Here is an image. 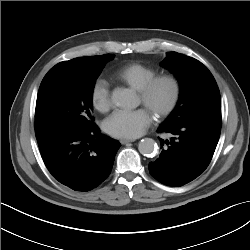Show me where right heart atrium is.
Wrapping results in <instances>:
<instances>
[{
  "label": "right heart atrium",
  "mask_w": 250,
  "mask_h": 250,
  "mask_svg": "<svg viewBox=\"0 0 250 250\" xmlns=\"http://www.w3.org/2000/svg\"><path fill=\"white\" fill-rule=\"evenodd\" d=\"M90 100L93 107L100 112H106L111 108L110 85L106 79L99 77L93 82Z\"/></svg>",
  "instance_id": "right-heart-atrium-1"
}]
</instances>
